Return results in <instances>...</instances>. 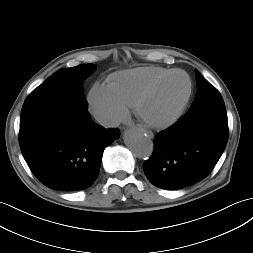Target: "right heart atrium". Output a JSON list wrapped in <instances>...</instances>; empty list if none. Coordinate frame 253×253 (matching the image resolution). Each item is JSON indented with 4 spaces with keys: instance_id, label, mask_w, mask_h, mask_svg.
<instances>
[{
    "instance_id": "right-heart-atrium-1",
    "label": "right heart atrium",
    "mask_w": 253,
    "mask_h": 253,
    "mask_svg": "<svg viewBox=\"0 0 253 253\" xmlns=\"http://www.w3.org/2000/svg\"><path fill=\"white\" fill-rule=\"evenodd\" d=\"M88 103L94 116L105 125H115L128 115V107L106 84L95 83L92 86Z\"/></svg>"
}]
</instances>
